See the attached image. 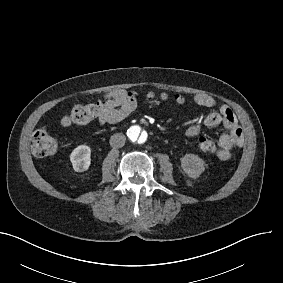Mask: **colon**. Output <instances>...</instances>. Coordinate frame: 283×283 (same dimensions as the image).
Returning <instances> with one entry per match:
<instances>
[{"label":"colon","instance_id":"obj_1","mask_svg":"<svg viewBox=\"0 0 283 283\" xmlns=\"http://www.w3.org/2000/svg\"><path fill=\"white\" fill-rule=\"evenodd\" d=\"M134 93L128 91L126 94H122V99L129 101L130 104L133 101ZM161 98L164 100L169 99L167 93L161 94ZM180 101L179 97H176ZM100 104H81L74 106L71 111L63 117L61 120L62 127L81 126L86 125L89 122L97 119L100 116ZM132 108L127 110V113ZM199 149L206 154H214L217 149L212 138L207 136H201L198 140ZM57 148L55 139L49 134L47 130H38L34 134L32 140V150L39 158H47L51 156Z\"/></svg>","mask_w":283,"mask_h":283}]
</instances>
